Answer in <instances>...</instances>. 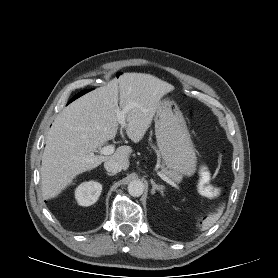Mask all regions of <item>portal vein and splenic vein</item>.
I'll use <instances>...</instances> for the list:
<instances>
[{
  "instance_id": "18ae733b",
  "label": "portal vein and splenic vein",
  "mask_w": 278,
  "mask_h": 278,
  "mask_svg": "<svg viewBox=\"0 0 278 278\" xmlns=\"http://www.w3.org/2000/svg\"><path fill=\"white\" fill-rule=\"evenodd\" d=\"M130 106L125 107L123 110L118 111L117 112V118H118V122L121 125V128H125L126 127V121H125V114L127 113V111L130 109ZM115 151V146L114 145H108L105 146L103 148H101L99 150V153L102 155H111L113 154ZM158 175L165 181L167 182L169 185H171L172 187L180 190V187L174 182L172 181L170 178H168L167 176H165L162 173H158Z\"/></svg>"
}]
</instances>
